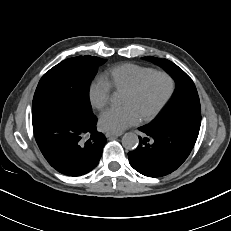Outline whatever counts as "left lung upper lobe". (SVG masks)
<instances>
[{"label":"left lung upper lobe","instance_id":"obj_1","mask_svg":"<svg viewBox=\"0 0 231 231\" xmlns=\"http://www.w3.org/2000/svg\"><path fill=\"white\" fill-rule=\"evenodd\" d=\"M170 73L176 82V90L164 113L150 125L165 127L189 125L200 128L201 107L199 96L192 79L177 65L167 59L145 57Z\"/></svg>","mask_w":231,"mask_h":231}]
</instances>
